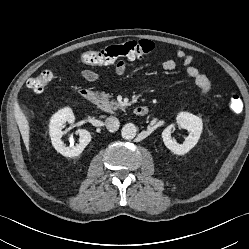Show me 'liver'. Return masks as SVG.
Returning a JSON list of instances; mask_svg holds the SVG:
<instances>
[{
  "label": "liver",
  "instance_id": "6515ba94",
  "mask_svg": "<svg viewBox=\"0 0 249 249\" xmlns=\"http://www.w3.org/2000/svg\"><path fill=\"white\" fill-rule=\"evenodd\" d=\"M15 117H16V120H17V124L19 126V130L21 132L24 144H25L27 150L29 151L30 127H29V123H28L26 115L20 109L18 104L15 106Z\"/></svg>",
  "mask_w": 249,
  "mask_h": 249
}]
</instances>
